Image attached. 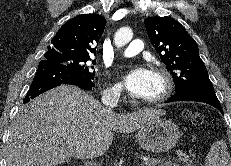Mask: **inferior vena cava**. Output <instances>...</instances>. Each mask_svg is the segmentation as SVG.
<instances>
[{
	"instance_id": "inferior-vena-cava-1",
	"label": "inferior vena cava",
	"mask_w": 231,
	"mask_h": 166,
	"mask_svg": "<svg viewBox=\"0 0 231 166\" xmlns=\"http://www.w3.org/2000/svg\"><path fill=\"white\" fill-rule=\"evenodd\" d=\"M119 97H120V93L115 92V93L103 95L101 101L103 105H105L109 110H112L117 106Z\"/></svg>"
}]
</instances>
